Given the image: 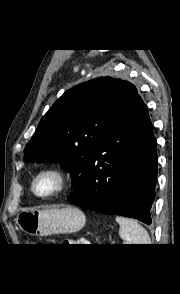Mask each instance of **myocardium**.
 <instances>
[{
	"label": "myocardium",
	"instance_id": "f54148a6",
	"mask_svg": "<svg viewBox=\"0 0 180 294\" xmlns=\"http://www.w3.org/2000/svg\"><path fill=\"white\" fill-rule=\"evenodd\" d=\"M52 176L56 179V186L49 192L41 193L37 190V182L41 177ZM70 183L69 174L60 166H49L39 171L32 179L31 191L42 199H47L64 191Z\"/></svg>",
	"mask_w": 180,
	"mask_h": 294
}]
</instances>
